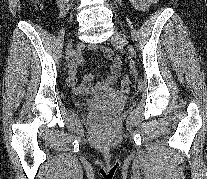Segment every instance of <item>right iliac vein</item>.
Segmentation results:
<instances>
[{"mask_svg": "<svg viewBox=\"0 0 207 179\" xmlns=\"http://www.w3.org/2000/svg\"><path fill=\"white\" fill-rule=\"evenodd\" d=\"M71 50H72V45L69 44L67 51H68V52H71ZM68 58H69V57H67V59H68Z\"/></svg>", "mask_w": 207, "mask_h": 179, "instance_id": "63e3f726", "label": "right iliac vein"}]
</instances>
